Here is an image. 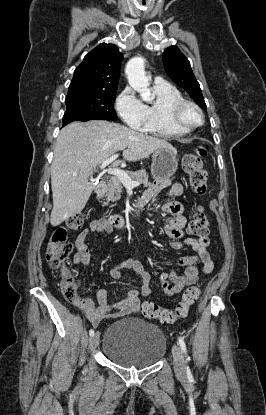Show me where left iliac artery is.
Segmentation results:
<instances>
[{
  "mask_svg": "<svg viewBox=\"0 0 266 415\" xmlns=\"http://www.w3.org/2000/svg\"><path fill=\"white\" fill-rule=\"evenodd\" d=\"M178 341H179V345H180L182 351L186 355V360H189V357H187V348H186V344H185L184 340L182 338H179ZM186 369H187V374L190 375V369H189V367L187 366Z\"/></svg>",
  "mask_w": 266,
  "mask_h": 415,
  "instance_id": "obj_1",
  "label": "left iliac artery"
}]
</instances>
